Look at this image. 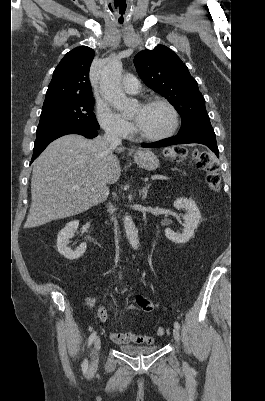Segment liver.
<instances>
[{"label": "liver", "mask_w": 265, "mask_h": 401, "mask_svg": "<svg viewBox=\"0 0 265 401\" xmlns=\"http://www.w3.org/2000/svg\"><path fill=\"white\" fill-rule=\"evenodd\" d=\"M114 150L124 148H110L103 136L87 140L81 134H66L53 140L33 162L32 203L24 229L85 213L105 201L106 184H114L121 174Z\"/></svg>", "instance_id": "obj_1"}]
</instances>
